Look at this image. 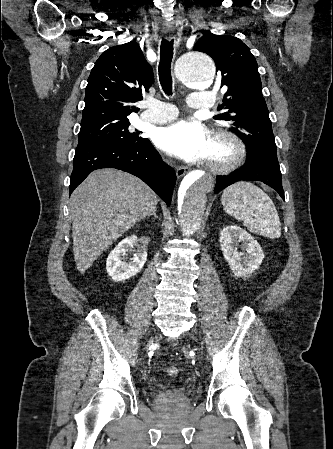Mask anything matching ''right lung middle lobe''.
Instances as JSON below:
<instances>
[{
  "mask_svg": "<svg viewBox=\"0 0 333 449\" xmlns=\"http://www.w3.org/2000/svg\"><path fill=\"white\" fill-rule=\"evenodd\" d=\"M129 120L103 122L81 127L78 146L96 143H120L136 146L145 141L139 132H130Z\"/></svg>",
  "mask_w": 333,
  "mask_h": 449,
  "instance_id": "dd1d6c3e",
  "label": "right lung middle lobe"
}]
</instances>
